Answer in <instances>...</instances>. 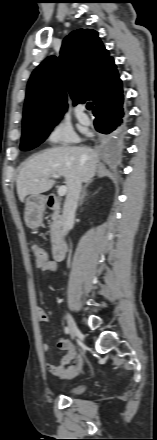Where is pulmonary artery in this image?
Instances as JSON below:
<instances>
[{"label":"pulmonary artery","mask_w":157,"mask_h":440,"mask_svg":"<svg viewBox=\"0 0 157 440\" xmlns=\"http://www.w3.org/2000/svg\"><path fill=\"white\" fill-rule=\"evenodd\" d=\"M74 111L76 113V115L78 116V118L83 121V122H88V117L87 115L84 113V108L82 105H78L74 108Z\"/></svg>","instance_id":"1"}]
</instances>
